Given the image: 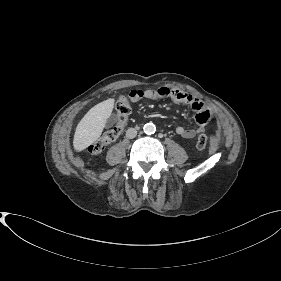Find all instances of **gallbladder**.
<instances>
[{"label": "gallbladder", "mask_w": 281, "mask_h": 281, "mask_svg": "<svg viewBox=\"0 0 281 281\" xmlns=\"http://www.w3.org/2000/svg\"><path fill=\"white\" fill-rule=\"evenodd\" d=\"M117 119L115 116H111L106 121V127H112L116 123Z\"/></svg>", "instance_id": "gallbladder-1"}]
</instances>
